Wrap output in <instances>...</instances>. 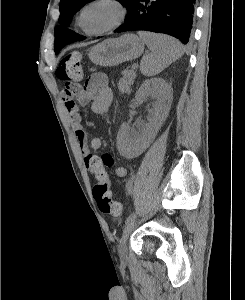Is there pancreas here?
<instances>
[{"label":"pancreas","mask_w":245,"mask_h":300,"mask_svg":"<svg viewBox=\"0 0 245 300\" xmlns=\"http://www.w3.org/2000/svg\"><path fill=\"white\" fill-rule=\"evenodd\" d=\"M135 77L136 74L133 69H127L122 72V78L118 82V89L121 92V94L127 93L129 91L130 86L133 84Z\"/></svg>","instance_id":"1"}]
</instances>
